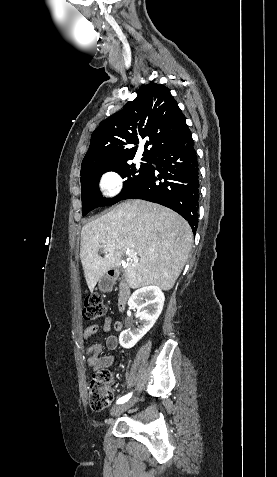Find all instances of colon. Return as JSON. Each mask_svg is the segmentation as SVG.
Returning <instances> with one entry per match:
<instances>
[{"instance_id": "1", "label": "colon", "mask_w": 277, "mask_h": 477, "mask_svg": "<svg viewBox=\"0 0 277 477\" xmlns=\"http://www.w3.org/2000/svg\"><path fill=\"white\" fill-rule=\"evenodd\" d=\"M105 314V306L99 295H90L86 298L83 308V319L94 322ZM113 381L109 371L101 370L95 373L89 383L88 400L90 407L95 411L107 408L113 400Z\"/></svg>"}]
</instances>
